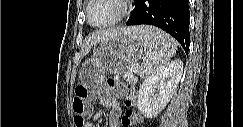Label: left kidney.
<instances>
[{
	"mask_svg": "<svg viewBox=\"0 0 243 127\" xmlns=\"http://www.w3.org/2000/svg\"><path fill=\"white\" fill-rule=\"evenodd\" d=\"M182 71L181 60H174L144 80L137 106L146 118L156 117L165 108L179 84Z\"/></svg>",
	"mask_w": 243,
	"mask_h": 127,
	"instance_id": "5707ae66",
	"label": "left kidney"
}]
</instances>
